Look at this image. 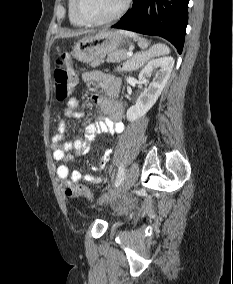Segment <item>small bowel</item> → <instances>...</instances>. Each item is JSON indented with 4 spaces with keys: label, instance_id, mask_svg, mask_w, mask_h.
<instances>
[{
    "label": "small bowel",
    "instance_id": "small-bowel-1",
    "mask_svg": "<svg viewBox=\"0 0 233 284\" xmlns=\"http://www.w3.org/2000/svg\"><path fill=\"white\" fill-rule=\"evenodd\" d=\"M82 78L86 83L97 85L104 91L105 97L93 95L91 102L100 107L106 118L88 124L84 129V134L80 138L70 141H65L66 123L63 119H60L50 139L53 158L56 161L67 162L71 160V151H74L76 154L83 152L99 133L109 132L111 134H118L124 131V124L121 121L122 107L113 99L119 92L120 81L99 71L84 72ZM78 106V100L71 98L63 109L64 116L69 118H81L83 113L78 110ZM110 157L111 150H106L99 169H103L106 166ZM56 174L67 188L74 187L75 184L80 181L98 183L101 180L99 174L85 173L82 169H76L71 172L68 165L65 163L57 167Z\"/></svg>",
    "mask_w": 233,
    "mask_h": 284
}]
</instances>
